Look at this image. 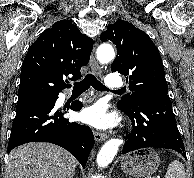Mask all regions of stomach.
I'll list each match as a JSON object with an SVG mask.
<instances>
[{
    "mask_svg": "<svg viewBox=\"0 0 194 178\" xmlns=\"http://www.w3.org/2000/svg\"><path fill=\"white\" fill-rule=\"evenodd\" d=\"M160 165L158 153L151 148H143L122 156L121 169L136 178H146L157 171Z\"/></svg>",
    "mask_w": 194,
    "mask_h": 178,
    "instance_id": "stomach-1",
    "label": "stomach"
}]
</instances>
